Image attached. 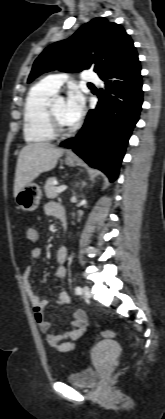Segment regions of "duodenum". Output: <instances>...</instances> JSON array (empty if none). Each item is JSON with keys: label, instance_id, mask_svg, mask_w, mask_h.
I'll use <instances>...</instances> for the list:
<instances>
[{"label": "duodenum", "instance_id": "410a0bca", "mask_svg": "<svg viewBox=\"0 0 165 419\" xmlns=\"http://www.w3.org/2000/svg\"><path fill=\"white\" fill-rule=\"evenodd\" d=\"M57 217L61 220L62 223V228L63 230H66L67 228V217H66V213L63 207L58 206L57 207Z\"/></svg>", "mask_w": 165, "mask_h": 419}]
</instances>
